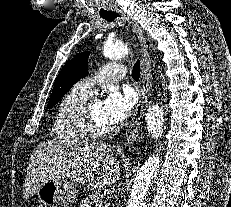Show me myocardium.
<instances>
[{
	"instance_id": "obj_1",
	"label": "myocardium",
	"mask_w": 231,
	"mask_h": 207,
	"mask_svg": "<svg viewBox=\"0 0 231 207\" xmlns=\"http://www.w3.org/2000/svg\"><path fill=\"white\" fill-rule=\"evenodd\" d=\"M96 102H99L96 97H90L83 103L79 111V121L82 129L88 136L98 139L114 134L115 128L103 129L96 125L92 114V106Z\"/></svg>"
}]
</instances>
